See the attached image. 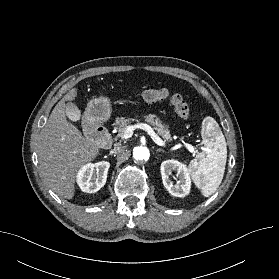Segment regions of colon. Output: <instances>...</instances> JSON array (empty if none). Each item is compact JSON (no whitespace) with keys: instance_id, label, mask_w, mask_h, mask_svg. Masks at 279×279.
Instances as JSON below:
<instances>
[{"instance_id":"1","label":"colon","mask_w":279,"mask_h":279,"mask_svg":"<svg viewBox=\"0 0 279 279\" xmlns=\"http://www.w3.org/2000/svg\"><path fill=\"white\" fill-rule=\"evenodd\" d=\"M139 98L146 103L168 100L176 113L184 120L190 118V109L187 102L180 94L171 93L167 89H147L139 94Z\"/></svg>"}]
</instances>
